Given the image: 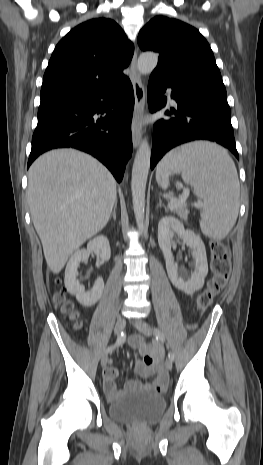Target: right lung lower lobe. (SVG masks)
Masks as SVG:
<instances>
[{
    "instance_id": "98d812e1",
    "label": "right lung lower lobe",
    "mask_w": 263,
    "mask_h": 465,
    "mask_svg": "<svg viewBox=\"0 0 263 465\" xmlns=\"http://www.w3.org/2000/svg\"><path fill=\"white\" fill-rule=\"evenodd\" d=\"M133 87L125 77L104 89H88L40 103L30 164L42 153L73 147L99 159L118 182L132 155ZM95 114H105L97 119Z\"/></svg>"
}]
</instances>
